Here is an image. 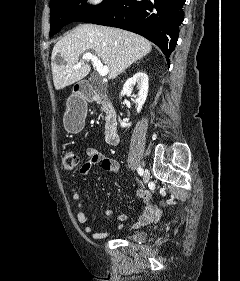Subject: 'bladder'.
<instances>
[{"label": "bladder", "instance_id": "obj_1", "mask_svg": "<svg viewBox=\"0 0 240 281\" xmlns=\"http://www.w3.org/2000/svg\"><path fill=\"white\" fill-rule=\"evenodd\" d=\"M146 238V233L143 231L136 232L128 236V240L131 241H143Z\"/></svg>", "mask_w": 240, "mask_h": 281}]
</instances>
